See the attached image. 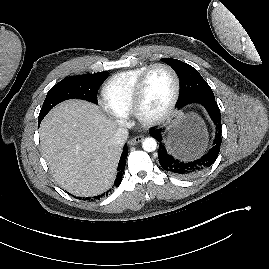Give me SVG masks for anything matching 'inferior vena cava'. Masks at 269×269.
I'll return each instance as SVG.
<instances>
[{
	"mask_svg": "<svg viewBox=\"0 0 269 269\" xmlns=\"http://www.w3.org/2000/svg\"><path fill=\"white\" fill-rule=\"evenodd\" d=\"M128 135L129 132L126 128H118L111 139V143L115 146H122L127 140Z\"/></svg>",
	"mask_w": 269,
	"mask_h": 269,
	"instance_id": "602c4592",
	"label": "inferior vena cava"
}]
</instances>
